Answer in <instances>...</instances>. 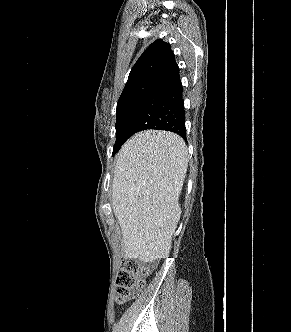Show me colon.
Listing matches in <instances>:
<instances>
[{
  "label": "colon",
  "instance_id": "1",
  "mask_svg": "<svg viewBox=\"0 0 291 332\" xmlns=\"http://www.w3.org/2000/svg\"><path fill=\"white\" fill-rule=\"evenodd\" d=\"M152 266L137 260H125L116 279V301L123 303L143 289Z\"/></svg>",
  "mask_w": 291,
  "mask_h": 332
}]
</instances>
